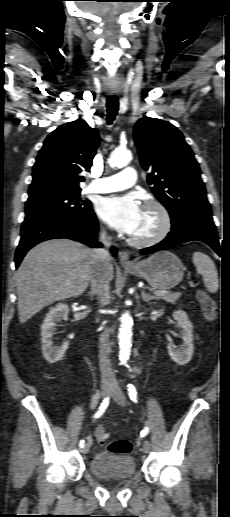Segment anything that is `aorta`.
I'll list each match as a JSON object with an SVG mask.
<instances>
[{"label": "aorta", "instance_id": "762f6f07", "mask_svg": "<svg viewBox=\"0 0 230 517\" xmlns=\"http://www.w3.org/2000/svg\"><path fill=\"white\" fill-rule=\"evenodd\" d=\"M132 159V154L128 150H114L109 158V163L112 167H124L126 166ZM120 328L118 333L119 340V360L121 363H126L129 359L131 352V342H132V326L133 320L128 311L123 313L120 318Z\"/></svg>", "mask_w": 230, "mask_h": 517}]
</instances>
